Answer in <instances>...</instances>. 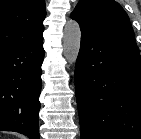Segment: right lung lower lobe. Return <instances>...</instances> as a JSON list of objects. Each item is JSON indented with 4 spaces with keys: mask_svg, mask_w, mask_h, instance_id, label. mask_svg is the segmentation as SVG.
Here are the masks:
<instances>
[{
    "mask_svg": "<svg viewBox=\"0 0 141 139\" xmlns=\"http://www.w3.org/2000/svg\"><path fill=\"white\" fill-rule=\"evenodd\" d=\"M43 37L0 51V130L39 139Z\"/></svg>",
    "mask_w": 141,
    "mask_h": 139,
    "instance_id": "right-lung-lower-lobe-1",
    "label": "right lung lower lobe"
}]
</instances>
